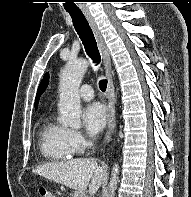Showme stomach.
I'll return each mask as SVG.
<instances>
[{
  "mask_svg": "<svg viewBox=\"0 0 191 197\" xmlns=\"http://www.w3.org/2000/svg\"><path fill=\"white\" fill-rule=\"evenodd\" d=\"M71 197H84V196H83V194H81V193L75 191V192H73V193L71 194Z\"/></svg>",
  "mask_w": 191,
  "mask_h": 197,
  "instance_id": "stomach-1",
  "label": "stomach"
}]
</instances>
